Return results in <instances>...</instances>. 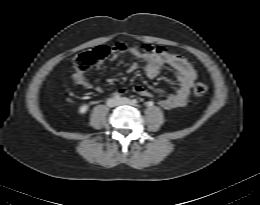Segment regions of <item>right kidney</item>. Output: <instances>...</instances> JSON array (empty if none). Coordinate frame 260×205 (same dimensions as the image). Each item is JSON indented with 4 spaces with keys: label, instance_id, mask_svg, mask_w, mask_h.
<instances>
[{
    "label": "right kidney",
    "instance_id": "1",
    "mask_svg": "<svg viewBox=\"0 0 260 205\" xmlns=\"http://www.w3.org/2000/svg\"><path fill=\"white\" fill-rule=\"evenodd\" d=\"M88 107L89 106L87 104L81 105L78 110L79 114H85L88 110Z\"/></svg>",
    "mask_w": 260,
    "mask_h": 205
}]
</instances>
